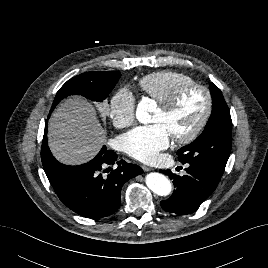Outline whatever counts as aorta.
<instances>
[{
	"instance_id": "obj_1",
	"label": "aorta",
	"mask_w": 268,
	"mask_h": 268,
	"mask_svg": "<svg viewBox=\"0 0 268 268\" xmlns=\"http://www.w3.org/2000/svg\"><path fill=\"white\" fill-rule=\"evenodd\" d=\"M153 101L145 98L142 99L136 109V118L142 124L151 122L150 112L153 110ZM147 187L159 196H166L172 191L170 181L163 175L157 172H151L146 175L145 179Z\"/></svg>"
}]
</instances>
